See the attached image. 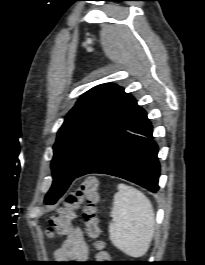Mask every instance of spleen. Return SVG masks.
<instances>
[{"mask_svg": "<svg viewBox=\"0 0 205 265\" xmlns=\"http://www.w3.org/2000/svg\"><path fill=\"white\" fill-rule=\"evenodd\" d=\"M110 216L109 234L113 245L131 257L145 255L155 226L150 200L136 188L121 183L114 195Z\"/></svg>", "mask_w": 205, "mask_h": 265, "instance_id": "1", "label": "spleen"}]
</instances>
